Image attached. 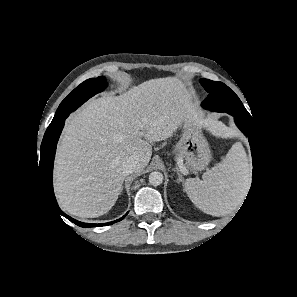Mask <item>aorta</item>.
Here are the masks:
<instances>
[{"mask_svg":"<svg viewBox=\"0 0 297 297\" xmlns=\"http://www.w3.org/2000/svg\"><path fill=\"white\" fill-rule=\"evenodd\" d=\"M149 182L153 186H158L163 182V174L159 171H154L149 175Z\"/></svg>","mask_w":297,"mask_h":297,"instance_id":"762f6f07","label":"aorta"}]
</instances>
